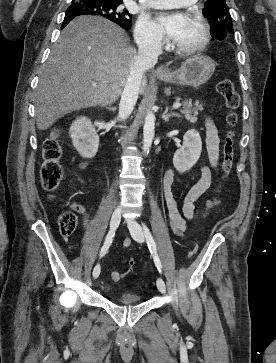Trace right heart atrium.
<instances>
[{
	"label": "right heart atrium",
	"instance_id": "d8ad5b80",
	"mask_svg": "<svg viewBox=\"0 0 276 363\" xmlns=\"http://www.w3.org/2000/svg\"><path fill=\"white\" fill-rule=\"evenodd\" d=\"M137 41L147 47H159L162 43V36L149 17L142 16L136 25Z\"/></svg>",
	"mask_w": 276,
	"mask_h": 363
}]
</instances>
